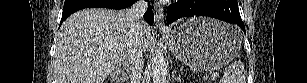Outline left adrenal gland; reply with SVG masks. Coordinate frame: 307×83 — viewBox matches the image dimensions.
I'll list each match as a JSON object with an SVG mask.
<instances>
[{
    "label": "left adrenal gland",
    "mask_w": 307,
    "mask_h": 83,
    "mask_svg": "<svg viewBox=\"0 0 307 83\" xmlns=\"http://www.w3.org/2000/svg\"><path fill=\"white\" fill-rule=\"evenodd\" d=\"M172 77L175 79V80H181V76H175L174 75V70L172 71Z\"/></svg>",
    "instance_id": "obj_1"
}]
</instances>
